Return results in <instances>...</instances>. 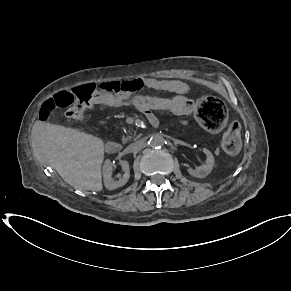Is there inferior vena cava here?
<instances>
[{"mask_svg":"<svg viewBox=\"0 0 291 291\" xmlns=\"http://www.w3.org/2000/svg\"><path fill=\"white\" fill-rule=\"evenodd\" d=\"M144 141L143 140H138L134 143H131L128 148L130 150H134V149H139L142 145H143Z\"/></svg>","mask_w":291,"mask_h":291,"instance_id":"obj_1","label":"inferior vena cava"}]
</instances>
